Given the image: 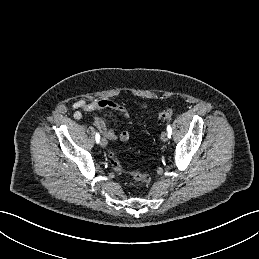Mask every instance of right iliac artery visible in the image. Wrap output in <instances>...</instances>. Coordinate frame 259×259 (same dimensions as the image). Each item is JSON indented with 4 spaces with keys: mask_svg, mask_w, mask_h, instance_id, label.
<instances>
[{
    "mask_svg": "<svg viewBox=\"0 0 259 259\" xmlns=\"http://www.w3.org/2000/svg\"><path fill=\"white\" fill-rule=\"evenodd\" d=\"M95 139H96V142L99 143V141H100V135H99V133H96Z\"/></svg>",
    "mask_w": 259,
    "mask_h": 259,
    "instance_id": "1",
    "label": "right iliac artery"
}]
</instances>
